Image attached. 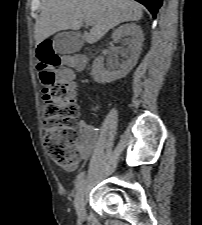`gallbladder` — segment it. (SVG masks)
Masks as SVG:
<instances>
[{
    "label": "gallbladder",
    "instance_id": "gallbladder-1",
    "mask_svg": "<svg viewBox=\"0 0 202 225\" xmlns=\"http://www.w3.org/2000/svg\"><path fill=\"white\" fill-rule=\"evenodd\" d=\"M84 43L80 33L75 31H62L53 39V49L57 54H73L79 52Z\"/></svg>",
    "mask_w": 202,
    "mask_h": 225
}]
</instances>
